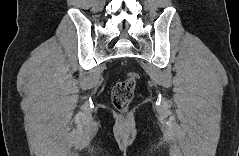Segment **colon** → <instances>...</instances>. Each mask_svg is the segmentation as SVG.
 Wrapping results in <instances>:
<instances>
[{"mask_svg": "<svg viewBox=\"0 0 239 156\" xmlns=\"http://www.w3.org/2000/svg\"><path fill=\"white\" fill-rule=\"evenodd\" d=\"M138 80L139 74L130 72L124 80L114 85L111 100L117 110H125L132 102Z\"/></svg>", "mask_w": 239, "mask_h": 156, "instance_id": "5ec220e1", "label": "colon"}]
</instances>
